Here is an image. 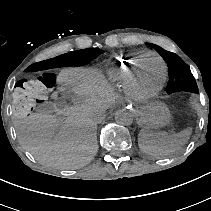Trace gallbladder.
<instances>
[{"label": "gallbladder", "instance_id": "gallbladder-1", "mask_svg": "<svg viewBox=\"0 0 211 211\" xmlns=\"http://www.w3.org/2000/svg\"><path fill=\"white\" fill-rule=\"evenodd\" d=\"M60 95L65 98V99H68V100H73V99H76V96L75 94L70 90V89H64L60 92ZM56 106L59 108V109H62L66 106V101L64 99H57L56 100Z\"/></svg>", "mask_w": 211, "mask_h": 211}]
</instances>
